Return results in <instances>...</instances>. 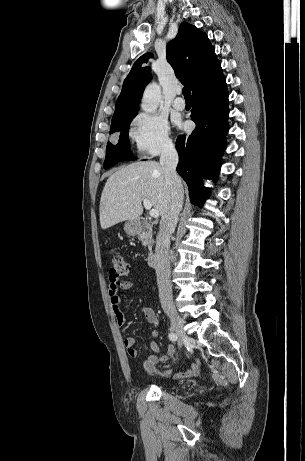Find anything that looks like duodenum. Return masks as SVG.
I'll return each instance as SVG.
<instances>
[{
  "instance_id": "410a0bca",
  "label": "duodenum",
  "mask_w": 305,
  "mask_h": 461,
  "mask_svg": "<svg viewBox=\"0 0 305 461\" xmlns=\"http://www.w3.org/2000/svg\"><path fill=\"white\" fill-rule=\"evenodd\" d=\"M135 230L137 237L140 239H149L152 235V227L151 224L144 220V219H138L135 222ZM147 265L149 267H153L156 265V254L154 252H150L147 256L146 259Z\"/></svg>"
}]
</instances>
